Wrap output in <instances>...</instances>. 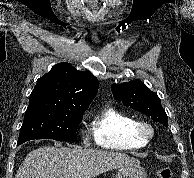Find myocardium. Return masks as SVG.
<instances>
[{
    "mask_svg": "<svg viewBox=\"0 0 194 178\" xmlns=\"http://www.w3.org/2000/svg\"><path fill=\"white\" fill-rule=\"evenodd\" d=\"M133 132L138 139L145 143L149 142L155 134L153 126L147 121H136Z\"/></svg>",
    "mask_w": 194,
    "mask_h": 178,
    "instance_id": "1",
    "label": "myocardium"
}]
</instances>
